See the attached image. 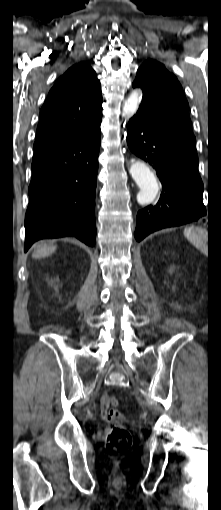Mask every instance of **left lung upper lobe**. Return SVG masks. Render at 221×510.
Masks as SVG:
<instances>
[{
	"mask_svg": "<svg viewBox=\"0 0 221 510\" xmlns=\"http://www.w3.org/2000/svg\"><path fill=\"white\" fill-rule=\"evenodd\" d=\"M133 87L143 90L142 103L136 115L160 136L197 153L189 105L174 74L168 72L163 64L150 59L138 69Z\"/></svg>",
	"mask_w": 221,
	"mask_h": 510,
	"instance_id": "obj_1",
	"label": "left lung upper lobe"
}]
</instances>
